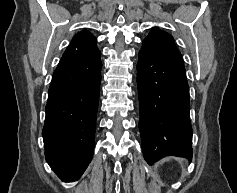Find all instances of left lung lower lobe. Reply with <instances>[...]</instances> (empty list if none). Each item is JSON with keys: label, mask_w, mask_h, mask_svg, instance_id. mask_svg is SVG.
I'll use <instances>...</instances> for the list:
<instances>
[{"label": "left lung lower lobe", "mask_w": 237, "mask_h": 193, "mask_svg": "<svg viewBox=\"0 0 237 193\" xmlns=\"http://www.w3.org/2000/svg\"><path fill=\"white\" fill-rule=\"evenodd\" d=\"M137 85L139 130L147 163L169 155L191 159L189 87L182 57L144 40Z\"/></svg>", "instance_id": "0a47b994"}]
</instances>
